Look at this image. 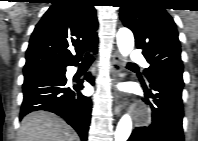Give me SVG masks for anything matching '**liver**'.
I'll list each match as a JSON object with an SVG mask.
<instances>
[{
  "label": "liver",
  "instance_id": "obj_1",
  "mask_svg": "<svg viewBox=\"0 0 198 141\" xmlns=\"http://www.w3.org/2000/svg\"><path fill=\"white\" fill-rule=\"evenodd\" d=\"M76 132L57 115L36 111L21 122L17 141H78Z\"/></svg>",
  "mask_w": 198,
  "mask_h": 141
}]
</instances>
